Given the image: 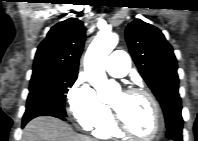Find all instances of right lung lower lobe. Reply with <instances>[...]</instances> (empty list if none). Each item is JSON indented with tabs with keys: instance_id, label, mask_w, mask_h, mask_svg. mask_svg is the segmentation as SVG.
I'll use <instances>...</instances> for the list:
<instances>
[{
	"instance_id": "98d812e1",
	"label": "right lung lower lobe",
	"mask_w": 198,
	"mask_h": 141,
	"mask_svg": "<svg viewBox=\"0 0 198 141\" xmlns=\"http://www.w3.org/2000/svg\"><path fill=\"white\" fill-rule=\"evenodd\" d=\"M31 113L32 114L30 115V118L23 119L22 126H25V124L27 122H29L31 119H33L37 116H41V115L53 116V117L60 118L62 120H66V116H64L63 114L53 112V111H49V110H46V109H31Z\"/></svg>"
}]
</instances>
